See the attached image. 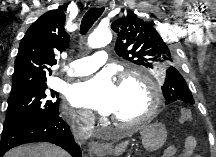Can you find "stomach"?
Returning a JSON list of instances; mask_svg holds the SVG:
<instances>
[{"instance_id":"obj_1","label":"stomach","mask_w":216,"mask_h":157,"mask_svg":"<svg viewBox=\"0 0 216 157\" xmlns=\"http://www.w3.org/2000/svg\"><path fill=\"white\" fill-rule=\"evenodd\" d=\"M140 135L144 148L149 152H153L163 146L167 137V131L162 124L152 123L143 126Z\"/></svg>"}]
</instances>
